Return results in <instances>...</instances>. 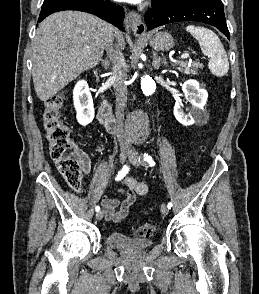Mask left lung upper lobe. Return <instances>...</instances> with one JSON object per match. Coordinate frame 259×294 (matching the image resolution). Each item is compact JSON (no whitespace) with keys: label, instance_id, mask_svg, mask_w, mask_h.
Instances as JSON below:
<instances>
[{"label":"left lung upper lobe","instance_id":"1","mask_svg":"<svg viewBox=\"0 0 259 294\" xmlns=\"http://www.w3.org/2000/svg\"><path fill=\"white\" fill-rule=\"evenodd\" d=\"M169 2H176V1H181V0H168Z\"/></svg>","mask_w":259,"mask_h":294}]
</instances>
